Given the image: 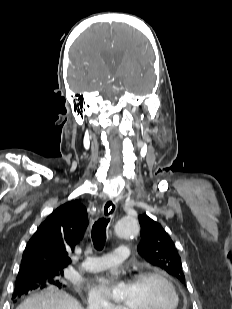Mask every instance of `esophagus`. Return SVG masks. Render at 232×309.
Segmentation results:
<instances>
[{
    "label": "esophagus",
    "instance_id": "obj_1",
    "mask_svg": "<svg viewBox=\"0 0 232 309\" xmlns=\"http://www.w3.org/2000/svg\"><path fill=\"white\" fill-rule=\"evenodd\" d=\"M115 211H116V204L114 200L111 199L107 200L102 207L103 216L110 217L115 213Z\"/></svg>",
    "mask_w": 232,
    "mask_h": 309
}]
</instances>
